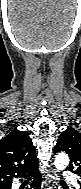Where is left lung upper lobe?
<instances>
[{
    "label": "left lung upper lobe",
    "mask_w": 81,
    "mask_h": 189,
    "mask_svg": "<svg viewBox=\"0 0 81 189\" xmlns=\"http://www.w3.org/2000/svg\"><path fill=\"white\" fill-rule=\"evenodd\" d=\"M64 151L70 156L69 170L81 180V133L73 128L63 131L54 148V153Z\"/></svg>",
    "instance_id": "obj_1"
}]
</instances>
